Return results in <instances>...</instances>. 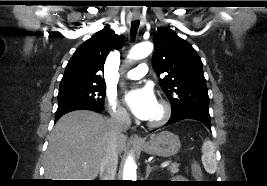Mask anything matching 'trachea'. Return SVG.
Wrapping results in <instances>:
<instances>
[{
  "label": "trachea",
  "instance_id": "obj_1",
  "mask_svg": "<svg viewBox=\"0 0 267 186\" xmlns=\"http://www.w3.org/2000/svg\"><path fill=\"white\" fill-rule=\"evenodd\" d=\"M139 27V21H132L131 23V36L134 38Z\"/></svg>",
  "mask_w": 267,
  "mask_h": 186
}]
</instances>
